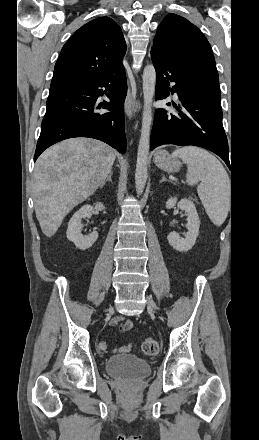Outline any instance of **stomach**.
I'll return each instance as SVG.
<instances>
[{"label":"stomach","instance_id":"obj_1","mask_svg":"<svg viewBox=\"0 0 259 440\" xmlns=\"http://www.w3.org/2000/svg\"><path fill=\"white\" fill-rule=\"evenodd\" d=\"M154 163L163 171L175 173L180 170L181 162L166 150H159L154 155Z\"/></svg>","mask_w":259,"mask_h":440}]
</instances>
